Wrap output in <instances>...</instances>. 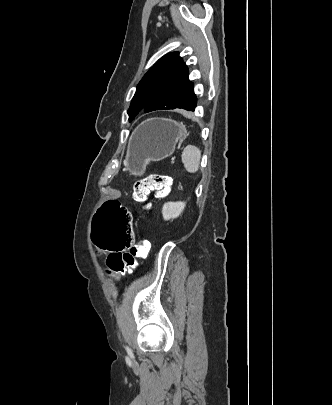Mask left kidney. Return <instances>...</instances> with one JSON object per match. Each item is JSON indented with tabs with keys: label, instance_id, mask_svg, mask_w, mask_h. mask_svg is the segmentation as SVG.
Masks as SVG:
<instances>
[{
	"label": "left kidney",
	"instance_id": "obj_1",
	"mask_svg": "<svg viewBox=\"0 0 332 405\" xmlns=\"http://www.w3.org/2000/svg\"><path fill=\"white\" fill-rule=\"evenodd\" d=\"M185 208L184 202H167L163 205L162 215L164 220L177 218Z\"/></svg>",
	"mask_w": 332,
	"mask_h": 405
}]
</instances>
